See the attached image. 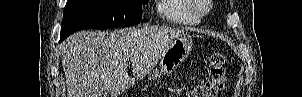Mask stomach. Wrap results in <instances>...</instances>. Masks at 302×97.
<instances>
[{"label": "stomach", "instance_id": "stomach-1", "mask_svg": "<svg viewBox=\"0 0 302 97\" xmlns=\"http://www.w3.org/2000/svg\"><path fill=\"white\" fill-rule=\"evenodd\" d=\"M192 39L187 34H180L174 38L160 57L159 68L153 70L149 79L156 81L163 75L174 72L187 58L192 50Z\"/></svg>", "mask_w": 302, "mask_h": 97}]
</instances>
